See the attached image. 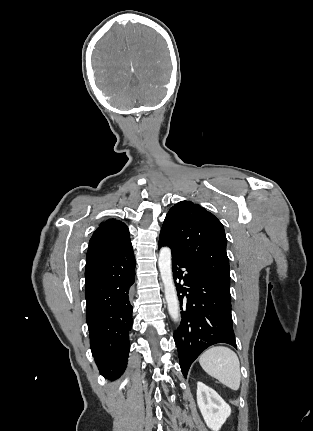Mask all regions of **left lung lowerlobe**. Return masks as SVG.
Returning a JSON list of instances; mask_svg holds the SVG:
<instances>
[{"instance_id": "left-lung-lower-lobe-1", "label": "left lung lower lobe", "mask_w": 313, "mask_h": 431, "mask_svg": "<svg viewBox=\"0 0 313 431\" xmlns=\"http://www.w3.org/2000/svg\"><path fill=\"white\" fill-rule=\"evenodd\" d=\"M162 246L159 242L158 247ZM172 271L182 310L174 341L182 373L187 377L193 361L209 346L228 343L236 347L230 285L192 268L175 255Z\"/></svg>"}]
</instances>
